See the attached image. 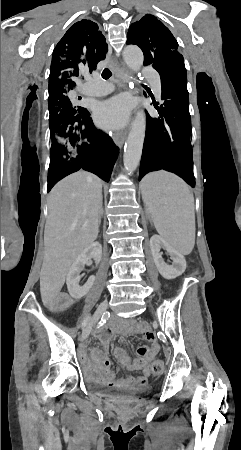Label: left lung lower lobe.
Wrapping results in <instances>:
<instances>
[{
  "label": "left lung lower lobe",
  "mask_w": 241,
  "mask_h": 450,
  "mask_svg": "<svg viewBox=\"0 0 241 450\" xmlns=\"http://www.w3.org/2000/svg\"><path fill=\"white\" fill-rule=\"evenodd\" d=\"M161 77L163 105L161 119L146 113V137L143 145L139 180L152 171L167 170L195 186L193 174L192 132L189 113L187 74L184 62L156 69Z\"/></svg>",
  "instance_id": "0a47b994"
}]
</instances>
